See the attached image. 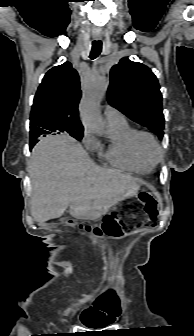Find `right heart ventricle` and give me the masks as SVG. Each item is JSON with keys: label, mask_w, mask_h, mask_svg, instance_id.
<instances>
[{"label": "right heart ventricle", "mask_w": 194, "mask_h": 336, "mask_svg": "<svg viewBox=\"0 0 194 336\" xmlns=\"http://www.w3.org/2000/svg\"><path fill=\"white\" fill-rule=\"evenodd\" d=\"M113 137L107 145L98 143L99 157L118 169L134 173L146 174L151 167L140 162L131 147V136L134 129L125 121L121 124L110 125Z\"/></svg>", "instance_id": "1"}]
</instances>
